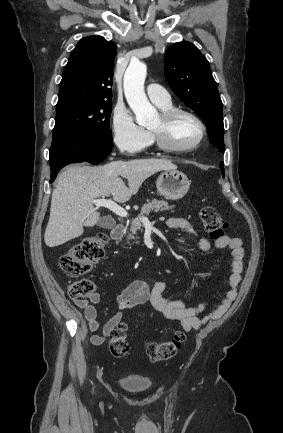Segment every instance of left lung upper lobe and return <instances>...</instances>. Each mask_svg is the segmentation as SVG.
<instances>
[{
	"label": "left lung upper lobe",
	"mask_w": 283,
	"mask_h": 433,
	"mask_svg": "<svg viewBox=\"0 0 283 433\" xmlns=\"http://www.w3.org/2000/svg\"><path fill=\"white\" fill-rule=\"evenodd\" d=\"M164 67L171 89L203 120L211 144L224 152L223 105L207 59L194 44L182 41L168 48Z\"/></svg>",
	"instance_id": "1"
}]
</instances>
